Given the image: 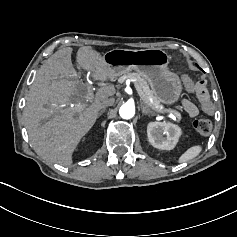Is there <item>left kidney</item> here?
Returning <instances> with one entry per match:
<instances>
[{
    "label": "left kidney",
    "instance_id": "1",
    "mask_svg": "<svg viewBox=\"0 0 237 237\" xmlns=\"http://www.w3.org/2000/svg\"><path fill=\"white\" fill-rule=\"evenodd\" d=\"M181 134V128L173 123L150 122L147 126L149 142L153 147L160 150L174 149Z\"/></svg>",
    "mask_w": 237,
    "mask_h": 237
}]
</instances>
